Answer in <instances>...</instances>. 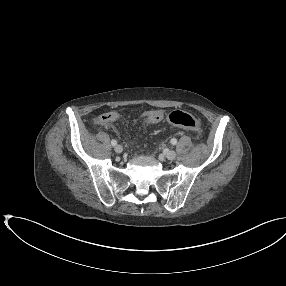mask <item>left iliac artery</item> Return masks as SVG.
I'll return each instance as SVG.
<instances>
[{
	"mask_svg": "<svg viewBox=\"0 0 286 286\" xmlns=\"http://www.w3.org/2000/svg\"><path fill=\"white\" fill-rule=\"evenodd\" d=\"M171 144L175 145L177 143V140L175 138L171 139Z\"/></svg>",
	"mask_w": 286,
	"mask_h": 286,
	"instance_id": "left-iliac-artery-1",
	"label": "left iliac artery"
}]
</instances>
